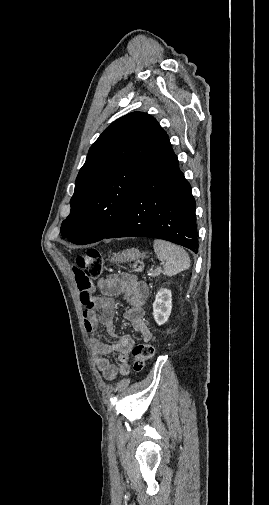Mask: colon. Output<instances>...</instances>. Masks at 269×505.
Segmentation results:
<instances>
[{
	"mask_svg": "<svg viewBox=\"0 0 269 505\" xmlns=\"http://www.w3.org/2000/svg\"><path fill=\"white\" fill-rule=\"evenodd\" d=\"M76 262L79 268H85L90 281H99L103 271V261L98 250L88 249L78 254ZM142 266L135 262L131 266L133 272H139ZM155 347L150 343H141L133 348V369L135 372L142 371L146 364L153 358Z\"/></svg>",
	"mask_w": 269,
	"mask_h": 505,
	"instance_id": "colon-1",
	"label": "colon"
}]
</instances>
